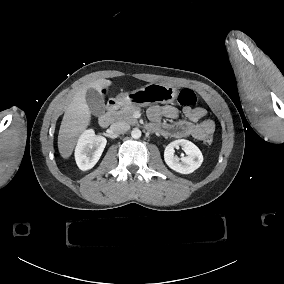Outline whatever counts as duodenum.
Wrapping results in <instances>:
<instances>
[{"mask_svg":"<svg viewBox=\"0 0 284 284\" xmlns=\"http://www.w3.org/2000/svg\"><path fill=\"white\" fill-rule=\"evenodd\" d=\"M126 100L123 98H114L111 99L108 102V109L101 113L98 118H97V122L98 124L103 127V128H107L112 120V114L114 113V110H116L121 104H123Z\"/></svg>","mask_w":284,"mask_h":284,"instance_id":"obj_1","label":"duodenum"}]
</instances>
